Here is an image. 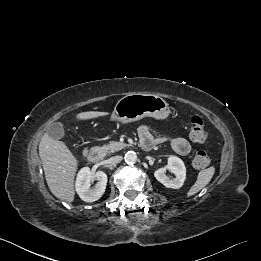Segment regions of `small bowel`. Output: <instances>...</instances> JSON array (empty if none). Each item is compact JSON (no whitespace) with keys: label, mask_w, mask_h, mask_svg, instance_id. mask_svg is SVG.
Wrapping results in <instances>:
<instances>
[{"label":"small bowel","mask_w":261,"mask_h":261,"mask_svg":"<svg viewBox=\"0 0 261 261\" xmlns=\"http://www.w3.org/2000/svg\"><path fill=\"white\" fill-rule=\"evenodd\" d=\"M139 135L141 142L148 143L150 146H153L155 143L163 142L164 137H155L147 126H142L139 129ZM172 149L181 156H187L191 150L192 146L189 141L183 137H176L171 140ZM145 148V147H144ZM147 149V148H145Z\"/></svg>","instance_id":"c3829d8e"}]
</instances>
